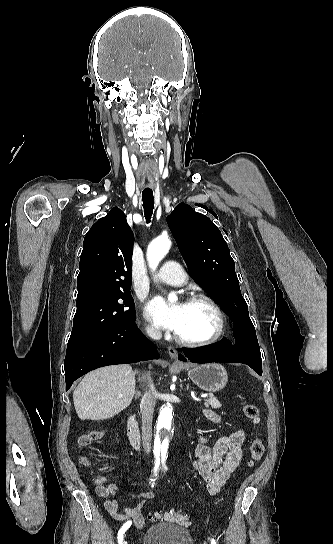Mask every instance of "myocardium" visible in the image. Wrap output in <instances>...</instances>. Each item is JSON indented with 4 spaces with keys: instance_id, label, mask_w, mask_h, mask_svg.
I'll return each mask as SVG.
<instances>
[{
    "instance_id": "f54148a6",
    "label": "myocardium",
    "mask_w": 333,
    "mask_h": 544,
    "mask_svg": "<svg viewBox=\"0 0 333 544\" xmlns=\"http://www.w3.org/2000/svg\"><path fill=\"white\" fill-rule=\"evenodd\" d=\"M196 302L206 303L216 315L217 326H216L215 332L210 337L203 340H188V339L182 338L177 333L175 334V339L177 340V342H179L180 344L184 346L205 347V346L214 344L222 337L226 328V316L223 309L219 305V303L214 298H212L211 296L207 294L197 293V294L191 295L187 299V303H196Z\"/></svg>"
}]
</instances>
